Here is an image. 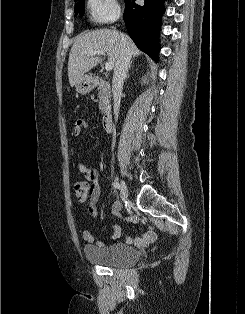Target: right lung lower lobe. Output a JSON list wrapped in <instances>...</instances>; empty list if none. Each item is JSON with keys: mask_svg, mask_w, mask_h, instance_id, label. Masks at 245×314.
I'll use <instances>...</instances> for the list:
<instances>
[{"mask_svg": "<svg viewBox=\"0 0 245 314\" xmlns=\"http://www.w3.org/2000/svg\"><path fill=\"white\" fill-rule=\"evenodd\" d=\"M126 0L123 14L130 37L135 44L154 59H158L160 19L164 0H144L143 5Z\"/></svg>", "mask_w": 245, "mask_h": 314, "instance_id": "right-lung-lower-lobe-1", "label": "right lung lower lobe"}]
</instances>
